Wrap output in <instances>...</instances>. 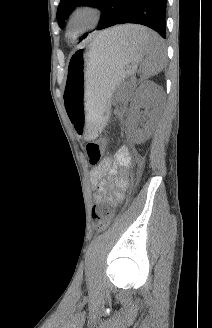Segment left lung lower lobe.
Listing matches in <instances>:
<instances>
[{
    "label": "left lung lower lobe",
    "instance_id": "left-lung-lower-lobe-1",
    "mask_svg": "<svg viewBox=\"0 0 212 328\" xmlns=\"http://www.w3.org/2000/svg\"><path fill=\"white\" fill-rule=\"evenodd\" d=\"M166 0H106L97 30L135 23L155 30L166 38Z\"/></svg>",
    "mask_w": 212,
    "mask_h": 328
}]
</instances>
